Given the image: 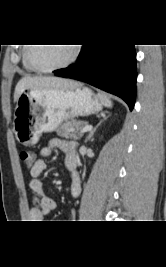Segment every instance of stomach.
Here are the masks:
<instances>
[{"instance_id": "stomach-1", "label": "stomach", "mask_w": 166, "mask_h": 267, "mask_svg": "<svg viewBox=\"0 0 166 267\" xmlns=\"http://www.w3.org/2000/svg\"><path fill=\"white\" fill-rule=\"evenodd\" d=\"M103 103L90 89H29L21 93L14 111L13 130L25 146L36 144L42 133L52 132L62 122L102 110Z\"/></svg>"}]
</instances>
